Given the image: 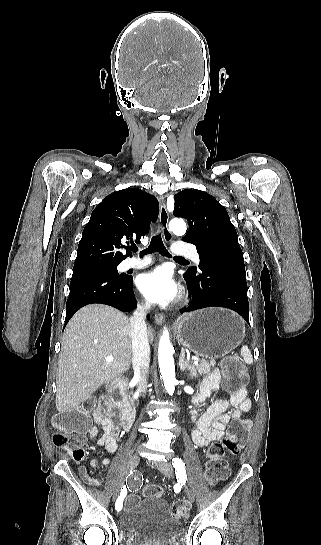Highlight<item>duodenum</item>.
<instances>
[{
	"instance_id": "410a0bca",
	"label": "duodenum",
	"mask_w": 321,
	"mask_h": 545,
	"mask_svg": "<svg viewBox=\"0 0 321 545\" xmlns=\"http://www.w3.org/2000/svg\"><path fill=\"white\" fill-rule=\"evenodd\" d=\"M110 401L121 412V425L125 430H129L133 424L135 418V409L129 402L124 390L120 384H112L109 389Z\"/></svg>"
}]
</instances>
